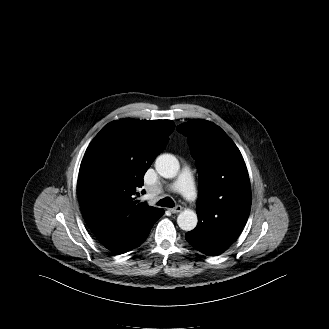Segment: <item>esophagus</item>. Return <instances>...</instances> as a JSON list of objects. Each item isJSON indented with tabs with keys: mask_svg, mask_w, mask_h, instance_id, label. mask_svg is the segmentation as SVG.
<instances>
[{
	"mask_svg": "<svg viewBox=\"0 0 329 329\" xmlns=\"http://www.w3.org/2000/svg\"><path fill=\"white\" fill-rule=\"evenodd\" d=\"M169 211H170L171 213H173V214H175V213H179V212L182 211V207H181L180 205H177V206L174 207V208H170Z\"/></svg>",
	"mask_w": 329,
	"mask_h": 329,
	"instance_id": "1",
	"label": "esophagus"
}]
</instances>
